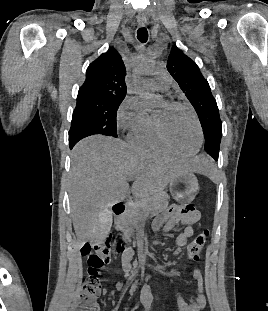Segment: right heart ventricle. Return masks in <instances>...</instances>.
I'll list each match as a JSON object with an SVG mask.
<instances>
[{
	"label": "right heart ventricle",
	"mask_w": 268,
	"mask_h": 311,
	"mask_svg": "<svg viewBox=\"0 0 268 311\" xmlns=\"http://www.w3.org/2000/svg\"><path fill=\"white\" fill-rule=\"evenodd\" d=\"M128 139L134 146L144 150H169L157 134L154 114H148L147 118L140 125L131 130Z\"/></svg>",
	"instance_id": "right-heart-ventricle-1"
}]
</instances>
